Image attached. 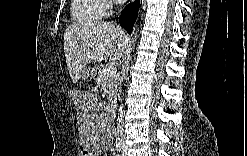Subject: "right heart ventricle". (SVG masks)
I'll list each match as a JSON object with an SVG mask.
<instances>
[{
  "label": "right heart ventricle",
  "mask_w": 247,
  "mask_h": 156,
  "mask_svg": "<svg viewBox=\"0 0 247 156\" xmlns=\"http://www.w3.org/2000/svg\"><path fill=\"white\" fill-rule=\"evenodd\" d=\"M75 22L88 24L100 20L104 15L103 2L99 0H75L71 5Z\"/></svg>",
  "instance_id": "obj_1"
}]
</instances>
